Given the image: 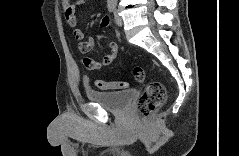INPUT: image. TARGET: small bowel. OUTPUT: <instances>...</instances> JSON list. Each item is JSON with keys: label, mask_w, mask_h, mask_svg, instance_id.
<instances>
[{"label": "small bowel", "mask_w": 239, "mask_h": 156, "mask_svg": "<svg viewBox=\"0 0 239 156\" xmlns=\"http://www.w3.org/2000/svg\"><path fill=\"white\" fill-rule=\"evenodd\" d=\"M85 5L84 0H78L73 3L69 0L62 1V7L64 9L65 18L68 25L72 28V34L75 40L79 42L78 48L82 53H88L94 48V39L89 38L86 41L84 39L83 31L77 26V11ZM101 27L108 28L110 27V20L108 17H104L100 22ZM109 48V53L104 56L101 60H96L90 57H84L83 63L88 70L97 71L111 65L118 55V47L115 42H107Z\"/></svg>", "instance_id": "obj_1"}]
</instances>
